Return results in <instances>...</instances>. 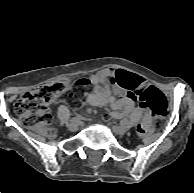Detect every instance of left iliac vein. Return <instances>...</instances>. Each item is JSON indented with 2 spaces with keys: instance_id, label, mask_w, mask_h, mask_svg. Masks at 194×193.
<instances>
[{
  "instance_id": "4c4485c4",
  "label": "left iliac vein",
  "mask_w": 194,
  "mask_h": 193,
  "mask_svg": "<svg viewBox=\"0 0 194 193\" xmlns=\"http://www.w3.org/2000/svg\"><path fill=\"white\" fill-rule=\"evenodd\" d=\"M113 131L117 135H124L126 133L127 129L124 126H114Z\"/></svg>"
}]
</instances>
